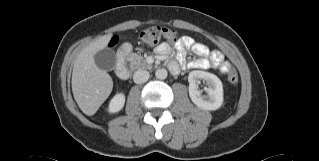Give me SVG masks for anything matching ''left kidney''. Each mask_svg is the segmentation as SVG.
<instances>
[{
    "label": "left kidney",
    "mask_w": 319,
    "mask_h": 161,
    "mask_svg": "<svg viewBox=\"0 0 319 161\" xmlns=\"http://www.w3.org/2000/svg\"><path fill=\"white\" fill-rule=\"evenodd\" d=\"M206 81L208 88L207 95H202L198 88L199 80ZM189 96L192 102L204 110H217L223 103V85L221 80L214 74L205 71L195 70L189 73Z\"/></svg>",
    "instance_id": "5707ae66"
}]
</instances>
